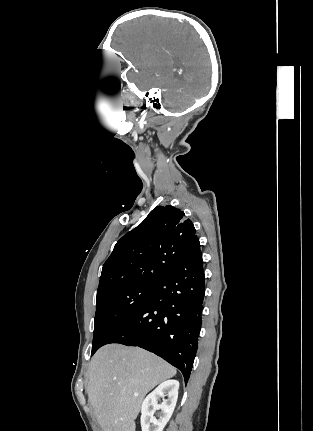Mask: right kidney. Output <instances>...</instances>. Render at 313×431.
<instances>
[{"label": "right kidney", "mask_w": 313, "mask_h": 431, "mask_svg": "<svg viewBox=\"0 0 313 431\" xmlns=\"http://www.w3.org/2000/svg\"><path fill=\"white\" fill-rule=\"evenodd\" d=\"M178 389L177 380H166L144 399L141 407L142 431H163L176 406ZM160 398L163 402L158 404ZM156 411H159L158 418L154 416Z\"/></svg>", "instance_id": "ca27d5eb"}]
</instances>
